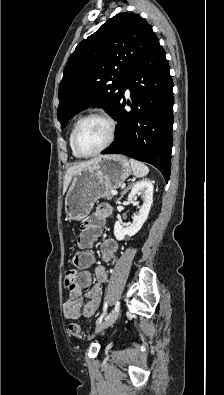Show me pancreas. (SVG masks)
Returning a JSON list of instances; mask_svg holds the SVG:
<instances>
[{"label":"pancreas","mask_w":224,"mask_h":395,"mask_svg":"<svg viewBox=\"0 0 224 395\" xmlns=\"http://www.w3.org/2000/svg\"><path fill=\"white\" fill-rule=\"evenodd\" d=\"M104 197L107 198V199H109V200L112 199L113 195L111 194V190H110V191H107V192L105 193Z\"/></svg>","instance_id":"1"}]
</instances>
